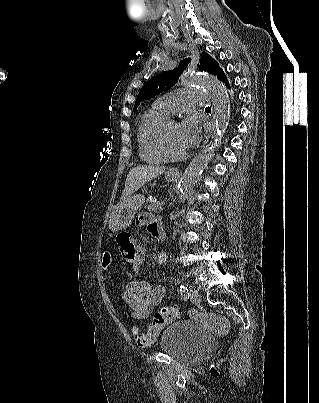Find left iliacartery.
Wrapping results in <instances>:
<instances>
[{
  "instance_id": "44dca946",
  "label": "left iliac artery",
  "mask_w": 319,
  "mask_h": 403,
  "mask_svg": "<svg viewBox=\"0 0 319 403\" xmlns=\"http://www.w3.org/2000/svg\"><path fill=\"white\" fill-rule=\"evenodd\" d=\"M180 294H181V298L183 300H188L189 299V292L187 287L184 284L180 285Z\"/></svg>"
}]
</instances>
